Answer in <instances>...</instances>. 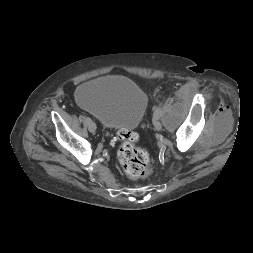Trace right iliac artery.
Segmentation results:
<instances>
[{"mask_svg":"<svg viewBox=\"0 0 253 253\" xmlns=\"http://www.w3.org/2000/svg\"><path fill=\"white\" fill-rule=\"evenodd\" d=\"M84 120L86 121L87 124L91 121L89 117H85Z\"/></svg>","mask_w":253,"mask_h":253,"instance_id":"82829eb1","label":"right iliac artery"}]
</instances>
